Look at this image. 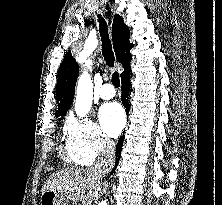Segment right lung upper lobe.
<instances>
[{"label":"right lung upper lobe","mask_w":222,"mask_h":205,"mask_svg":"<svg viewBox=\"0 0 222 205\" xmlns=\"http://www.w3.org/2000/svg\"><path fill=\"white\" fill-rule=\"evenodd\" d=\"M129 28L124 24L121 17L116 14L112 27V40L117 61L123 65L124 71L121 78L131 72L130 49L133 44L129 42ZM78 65L68 51L58 71V81L56 86V100L58 101V111L56 116H63L70 108L75 91V84L78 76Z\"/></svg>","instance_id":"cb5924a9"}]
</instances>
